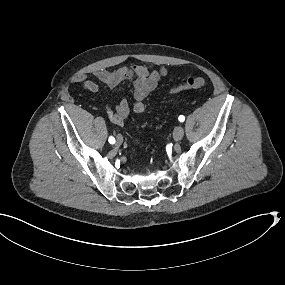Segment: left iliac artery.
<instances>
[{"label":"left iliac artery","instance_id":"obj_1","mask_svg":"<svg viewBox=\"0 0 285 285\" xmlns=\"http://www.w3.org/2000/svg\"><path fill=\"white\" fill-rule=\"evenodd\" d=\"M178 120H179L180 122H184L185 117H184L183 115H180L179 118H178Z\"/></svg>","mask_w":285,"mask_h":285}]
</instances>
